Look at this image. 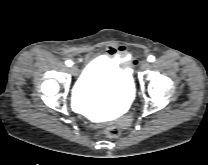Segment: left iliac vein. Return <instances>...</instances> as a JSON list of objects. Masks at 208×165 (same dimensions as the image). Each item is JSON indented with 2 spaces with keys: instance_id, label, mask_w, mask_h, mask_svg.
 Returning a JSON list of instances; mask_svg holds the SVG:
<instances>
[{
  "instance_id": "obj_1",
  "label": "left iliac vein",
  "mask_w": 208,
  "mask_h": 165,
  "mask_svg": "<svg viewBox=\"0 0 208 165\" xmlns=\"http://www.w3.org/2000/svg\"><path fill=\"white\" fill-rule=\"evenodd\" d=\"M149 66H150V64H149V62H148L147 60H143V61L141 62V64H140V68H141L142 70L148 69Z\"/></svg>"
}]
</instances>
